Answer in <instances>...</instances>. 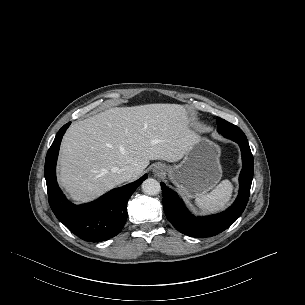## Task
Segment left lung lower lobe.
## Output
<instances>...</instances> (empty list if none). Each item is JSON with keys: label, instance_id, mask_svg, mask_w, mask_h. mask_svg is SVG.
<instances>
[{"label": "left lung lower lobe", "instance_id": "1", "mask_svg": "<svg viewBox=\"0 0 305 305\" xmlns=\"http://www.w3.org/2000/svg\"><path fill=\"white\" fill-rule=\"evenodd\" d=\"M227 138L239 144L243 160L239 176V195L228 210L218 215L195 217L187 211L177 194L161 182L164 212L173 226L183 234L197 238L215 236L232 225L246 207L253 179V155L247 139Z\"/></svg>", "mask_w": 305, "mask_h": 305}]
</instances>
